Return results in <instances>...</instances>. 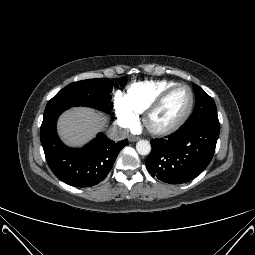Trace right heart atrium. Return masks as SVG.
<instances>
[{
    "label": "right heart atrium",
    "mask_w": 255,
    "mask_h": 255,
    "mask_svg": "<svg viewBox=\"0 0 255 255\" xmlns=\"http://www.w3.org/2000/svg\"><path fill=\"white\" fill-rule=\"evenodd\" d=\"M115 114L119 124L125 129H133L138 124V115L118 96L114 103Z\"/></svg>",
    "instance_id": "obj_1"
}]
</instances>
